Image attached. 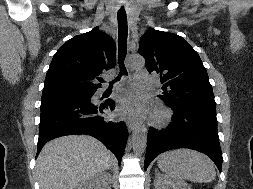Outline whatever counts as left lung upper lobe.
<instances>
[{
	"mask_svg": "<svg viewBox=\"0 0 253 189\" xmlns=\"http://www.w3.org/2000/svg\"><path fill=\"white\" fill-rule=\"evenodd\" d=\"M139 53L147 70L160 75L163 92L159 97L168 106L216 114L207 71L184 38L151 28L141 36Z\"/></svg>",
	"mask_w": 253,
	"mask_h": 189,
	"instance_id": "obj_1",
	"label": "left lung upper lobe"
}]
</instances>
